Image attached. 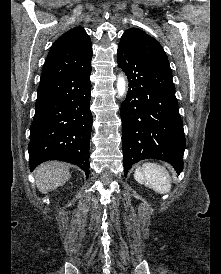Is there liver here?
I'll list each match as a JSON object with an SVG mask.
<instances>
[{"label": "liver", "instance_id": "1", "mask_svg": "<svg viewBox=\"0 0 221 274\" xmlns=\"http://www.w3.org/2000/svg\"><path fill=\"white\" fill-rule=\"evenodd\" d=\"M38 190L46 194L64 185L71 177L67 164L57 161L45 162L34 171Z\"/></svg>", "mask_w": 221, "mask_h": 274}]
</instances>
